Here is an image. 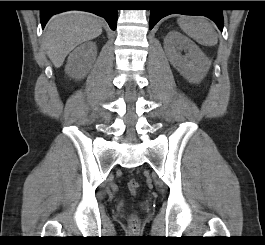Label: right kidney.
<instances>
[{
  "instance_id": "right-kidney-1",
  "label": "right kidney",
  "mask_w": 265,
  "mask_h": 245,
  "mask_svg": "<svg viewBox=\"0 0 265 245\" xmlns=\"http://www.w3.org/2000/svg\"><path fill=\"white\" fill-rule=\"evenodd\" d=\"M96 56L97 46L94 42L82 44L69 55L65 72L77 80L84 78L92 68Z\"/></svg>"
}]
</instances>
